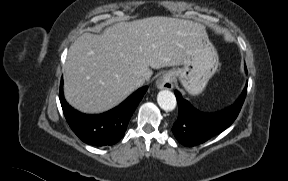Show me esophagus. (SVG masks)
<instances>
[{
  "label": "esophagus",
  "instance_id": "34e87169",
  "mask_svg": "<svg viewBox=\"0 0 288 181\" xmlns=\"http://www.w3.org/2000/svg\"><path fill=\"white\" fill-rule=\"evenodd\" d=\"M173 83L174 76L171 73H165L156 81V87L158 89L171 90L174 86Z\"/></svg>",
  "mask_w": 288,
  "mask_h": 181
}]
</instances>
